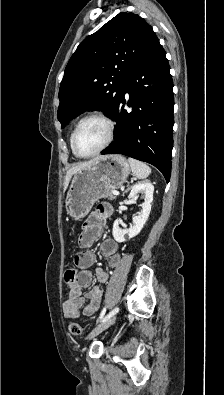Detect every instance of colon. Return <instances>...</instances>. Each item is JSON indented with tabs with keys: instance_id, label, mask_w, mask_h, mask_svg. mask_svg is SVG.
<instances>
[{
	"instance_id": "5ec220e1",
	"label": "colon",
	"mask_w": 224,
	"mask_h": 395,
	"mask_svg": "<svg viewBox=\"0 0 224 395\" xmlns=\"http://www.w3.org/2000/svg\"><path fill=\"white\" fill-rule=\"evenodd\" d=\"M75 275H76V271L72 268H69L65 271L64 281L65 284L70 288H73L75 285ZM69 332L73 336H82L84 334V329L80 323L71 322L69 324Z\"/></svg>"
}]
</instances>
